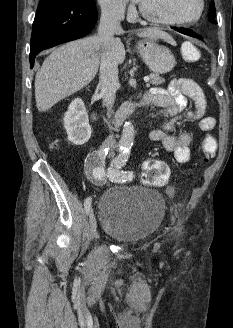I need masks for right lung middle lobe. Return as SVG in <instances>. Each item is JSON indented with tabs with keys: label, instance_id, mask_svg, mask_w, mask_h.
<instances>
[{
	"label": "right lung middle lobe",
	"instance_id": "dd1d6c3e",
	"mask_svg": "<svg viewBox=\"0 0 233 328\" xmlns=\"http://www.w3.org/2000/svg\"><path fill=\"white\" fill-rule=\"evenodd\" d=\"M80 1H84V2H93L94 0H80Z\"/></svg>",
	"mask_w": 233,
	"mask_h": 328
}]
</instances>
